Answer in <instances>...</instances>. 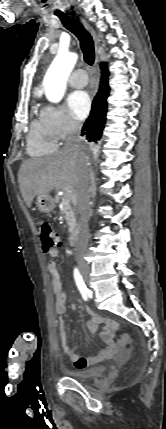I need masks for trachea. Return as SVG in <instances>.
<instances>
[{
	"mask_svg": "<svg viewBox=\"0 0 166 429\" xmlns=\"http://www.w3.org/2000/svg\"><path fill=\"white\" fill-rule=\"evenodd\" d=\"M56 15L60 18L63 25L78 38L84 55V61L88 65H92L95 60V48L94 41L90 33L86 31L83 25L74 18H71L61 12L56 13Z\"/></svg>",
	"mask_w": 166,
	"mask_h": 429,
	"instance_id": "3493384b",
	"label": "trachea"
}]
</instances>
